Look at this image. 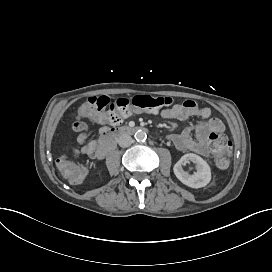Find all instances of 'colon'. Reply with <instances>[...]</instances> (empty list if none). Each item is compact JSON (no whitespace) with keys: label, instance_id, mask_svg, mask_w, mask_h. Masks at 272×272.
<instances>
[{"label":"colon","instance_id":"5ec220e1","mask_svg":"<svg viewBox=\"0 0 272 272\" xmlns=\"http://www.w3.org/2000/svg\"><path fill=\"white\" fill-rule=\"evenodd\" d=\"M114 103L106 96L99 98L92 96L79 105L78 111L84 117L92 114L93 119L98 122L105 120L110 124H121L132 111H157L168 107L172 103V98L168 96L136 95L131 99H127L116 96ZM70 129L73 132L85 133L88 130V125L83 119L77 118L71 122ZM206 140L207 144L212 148V154L217 166L222 169L226 168L233 150V142L229 140V136L225 132L215 130L207 135ZM64 156L58 162L60 174L67 177L71 186H80L83 178L87 176L88 170L85 165L72 163L79 159V150L74 147L67 148Z\"/></svg>","mask_w":272,"mask_h":272}]
</instances>
